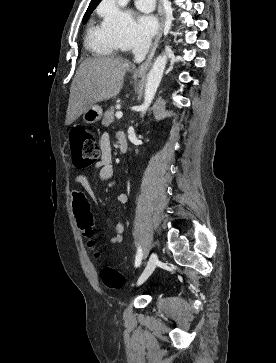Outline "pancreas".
I'll use <instances>...</instances> for the list:
<instances>
[{
    "mask_svg": "<svg viewBox=\"0 0 276 363\" xmlns=\"http://www.w3.org/2000/svg\"><path fill=\"white\" fill-rule=\"evenodd\" d=\"M114 112H115V108L114 107H110L104 114V118L102 120V125L104 126H109L111 123L114 122Z\"/></svg>",
    "mask_w": 276,
    "mask_h": 363,
    "instance_id": "obj_1",
    "label": "pancreas"
}]
</instances>
